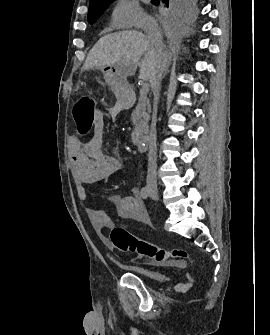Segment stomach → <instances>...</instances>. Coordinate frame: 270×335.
Segmentation results:
<instances>
[{"label":"stomach","instance_id":"1","mask_svg":"<svg viewBox=\"0 0 270 335\" xmlns=\"http://www.w3.org/2000/svg\"><path fill=\"white\" fill-rule=\"evenodd\" d=\"M102 72L108 80H111L113 92H115L118 102H120L122 106H126L129 96V88L128 86H125L126 80H118V78H114V72H117V70H115L113 66L103 68Z\"/></svg>","mask_w":270,"mask_h":335}]
</instances>
